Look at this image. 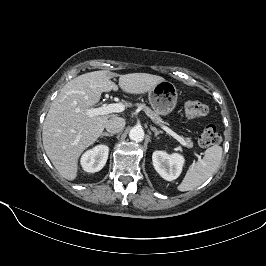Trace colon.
<instances>
[{"label":"colon","mask_w":266,"mask_h":266,"mask_svg":"<svg viewBox=\"0 0 266 266\" xmlns=\"http://www.w3.org/2000/svg\"><path fill=\"white\" fill-rule=\"evenodd\" d=\"M185 115L189 119H198L205 116L208 112V108L205 104L196 101L189 100L184 105ZM220 134L214 125H207L202 130L198 142L202 147H210L220 142Z\"/></svg>","instance_id":"obj_1"}]
</instances>
